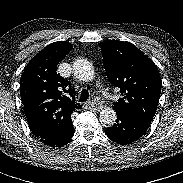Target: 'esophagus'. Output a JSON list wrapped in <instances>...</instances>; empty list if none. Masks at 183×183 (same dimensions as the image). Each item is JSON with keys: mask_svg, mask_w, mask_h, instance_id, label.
<instances>
[{"mask_svg": "<svg viewBox=\"0 0 183 183\" xmlns=\"http://www.w3.org/2000/svg\"><path fill=\"white\" fill-rule=\"evenodd\" d=\"M85 107L87 109H94L97 111H100L103 108L101 103L95 102V101H89V102L85 103Z\"/></svg>", "mask_w": 183, "mask_h": 183, "instance_id": "obj_1", "label": "esophagus"}]
</instances>
